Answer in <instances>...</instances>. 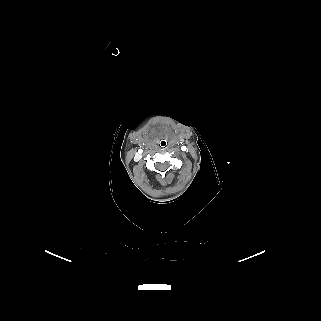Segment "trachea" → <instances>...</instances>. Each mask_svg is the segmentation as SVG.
<instances>
[{
  "label": "trachea",
  "mask_w": 321,
  "mask_h": 321,
  "mask_svg": "<svg viewBox=\"0 0 321 321\" xmlns=\"http://www.w3.org/2000/svg\"><path fill=\"white\" fill-rule=\"evenodd\" d=\"M160 146H161L162 148H165V147L167 146V143H166L165 141H162V142L160 143Z\"/></svg>",
  "instance_id": "obj_1"
}]
</instances>
